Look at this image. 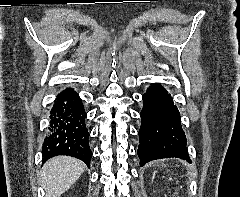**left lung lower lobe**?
I'll use <instances>...</instances> for the list:
<instances>
[{
  "label": "left lung lower lobe",
  "mask_w": 240,
  "mask_h": 197,
  "mask_svg": "<svg viewBox=\"0 0 240 197\" xmlns=\"http://www.w3.org/2000/svg\"><path fill=\"white\" fill-rule=\"evenodd\" d=\"M144 107L139 130L140 165L168 157L191 162L186 136L181 127L180 113L170 94L159 84L151 85L143 96Z\"/></svg>",
  "instance_id": "1"
}]
</instances>
